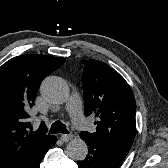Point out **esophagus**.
I'll return each mask as SVG.
<instances>
[{"instance_id": "1", "label": "esophagus", "mask_w": 168, "mask_h": 168, "mask_svg": "<svg viewBox=\"0 0 168 168\" xmlns=\"http://www.w3.org/2000/svg\"><path fill=\"white\" fill-rule=\"evenodd\" d=\"M74 137L73 134H62L60 139L63 141V142H68L70 141L72 138Z\"/></svg>"}]
</instances>
